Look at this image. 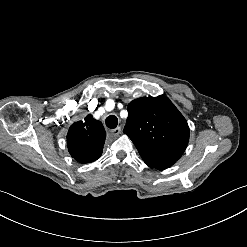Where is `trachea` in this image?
<instances>
[{"instance_id": "1", "label": "trachea", "mask_w": 247, "mask_h": 247, "mask_svg": "<svg viewBox=\"0 0 247 247\" xmlns=\"http://www.w3.org/2000/svg\"><path fill=\"white\" fill-rule=\"evenodd\" d=\"M117 124H118V119L116 116L110 115L106 118V126L108 128H111V129L116 128Z\"/></svg>"}]
</instances>
